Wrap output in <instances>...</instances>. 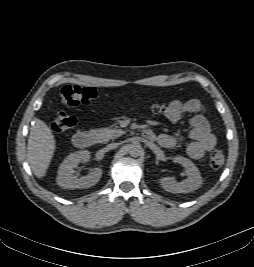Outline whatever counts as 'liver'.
<instances>
[{"label": "liver", "mask_w": 254, "mask_h": 267, "mask_svg": "<svg viewBox=\"0 0 254 267\" xmlns=\"http://www.w3.org/2000/svg\"><path fill=\"white\" fill-rule=\"evenodd\" d=\"M55 142L54 135L46 123L35 118L34 124L30 127L27 157L37 178H43L46 175L55 152Z\"/></svg>", "instance_id": "liver-1"}]
</instances>
